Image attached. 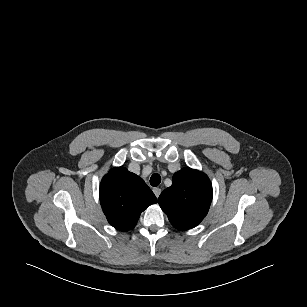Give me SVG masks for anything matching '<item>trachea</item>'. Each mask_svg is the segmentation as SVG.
<instances>
[{"label": "trachea", "mask_w": 307, "mask_h": 307, "mask_svg": "<svg viewBox=\"0 0 307 307\" xmlns=\"http://www.w3.org/2000/svg\"><path fill=\"white\" fill-rule=\"evenodd\" d=\"M161 182V176L157 173L153 174L150 178V184L153 187H156L160 184Z\"/></svg>", "instance_id": "3493384b"}]
</instances>
